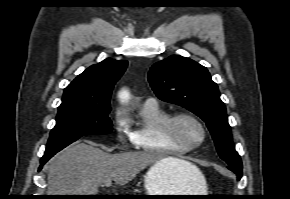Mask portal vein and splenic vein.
Wrapping results in <instances>:
<instances>
[{"instance_id": "portal-vein-and-splenic-vein-1", "label": "portal vein and splenic vein", "mask_w": 290, "mask_h": 199, "mask_svg": "<svg viewBox=\"0 0 290 199\" xmlns=\"http://www.w3.org/2000/svg\"><path fill=\"white\" fill-rule=\"evenodd\" d=\"M104 184H105V186H110L111 185V181L110 180L106 181Z\"/></svg>"}]
</instances>
